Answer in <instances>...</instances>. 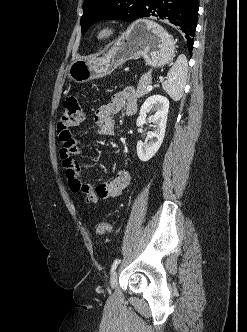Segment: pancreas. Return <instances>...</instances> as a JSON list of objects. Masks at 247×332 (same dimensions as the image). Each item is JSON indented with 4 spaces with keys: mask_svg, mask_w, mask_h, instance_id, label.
<instances>
[{
    "mask_svg": "<svg viewBox=\"0 0 247 332\" xmlns=\"http://www.w3.org/2000/svg\"><path fill=\"white\" fill-rule=\"evenodd\" d=\"M150 83H151V75L150 74L143 75L137 85L135 96L139 98L146 95L148 93L146 88Z\"/></svg>",
    "mask_w": 247,
    "mask_h": 332,
    "instance_id": "obj_1",
    "label": "pancreas"
}]
</instances>
